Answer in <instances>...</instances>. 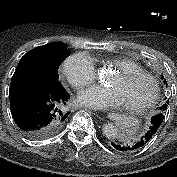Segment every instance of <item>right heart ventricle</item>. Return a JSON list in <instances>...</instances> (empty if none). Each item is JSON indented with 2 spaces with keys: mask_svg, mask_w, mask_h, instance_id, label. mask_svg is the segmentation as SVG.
Here are the masks:
<instances>
[{
  "mask_svg": "<svg viewBox=\"0 0 177 177\" xmlns=\"http://www.w3.org/2000/svg\"><path fill=\"white\" fill-rule=\"evenodd\" d=\"M107 64L116 67L119 72L143 71L140 64L125 57L110 59L107 61Z\"/></svg>",
  "mask_w": 177,
  "mask_h": 177,
  "instance_id": "e07e8e85",
  "label": "right heart ventricle"
}]
</instances>
